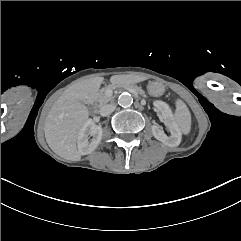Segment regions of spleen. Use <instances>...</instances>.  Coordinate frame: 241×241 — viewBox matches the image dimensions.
Instances as JSON below:
<instances>
[{
    "label": "spleen",
    "mask_w": 241,
    "mask_h": 241,
    "mask_svg": "<svg viewBox=\"0 0 241 241\" xmlns=\"http://www.w3.org/2000/svg\"><path fill=\"white\" fill-rule=\"evenodd\" d=\"M171 102L176 104L174 116L175 123L183 134L188 135L191 129V114L188 107L180 100L178 95H173L171 97Z\"/></svg>",
    "instance_id": "3e777b00"
}]
</instances>
